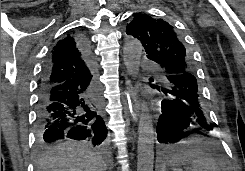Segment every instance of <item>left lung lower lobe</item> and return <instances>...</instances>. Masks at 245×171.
I'll list each match as a JSON object with an SVG mask.
<instances>
[{
	"label": "left lung lower lobe",
	"instance_id": "obj_1",
	"mask_svg": "<svg viewBox=\"0 0 245 171\" xmlns=\"http://www.w3.org/2000/svg\"><path fill=\"white\" fill-rule=\"evenodd\" d=\"M163 72L168 88L151 84L166 96L161 102L157 123L158 141L162 144L178 142L186 136V129L193 125L200 134L207 136L213 126L193 72L177 62L166 65Z\"/></svg>",
	"mask_w": 245,
	"mask_h": 171
}]
</instances>
